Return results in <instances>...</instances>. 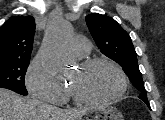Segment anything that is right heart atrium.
<instances>
[{
	"mask_svg": "<svg viewBox=\"0 0 165 120\" xmlns=\"http://www.w3.org/2000/svg\"><path fill=\"white\" fill-rule=\"evenodd\" d=\"M26 87L33 97L50 103H63L68 95L67 89L37 59L28 68Z\"/></svg>",
	"mask_w": 165,
	"mask_h": 120,
	"instance_id": "d8ad5b80",
	"label": "right heart atrium"
}]
</instances>
